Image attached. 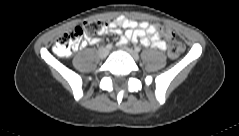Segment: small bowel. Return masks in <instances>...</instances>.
Masks as SVG:
<instances>
[{
  "label": "small bowel",
  "instance_id": "obj_1",
  "mask_svg": "<svg viewBox=\"0 0 239 136\" xmlns=\"http://www.w3.org/2000/svg\"><path fill=\"white\" fill-rule=\"evenodd\" d=\"M106 33H117L120 35L118 45H125L128 42H140L146 47H153L158 50L164 51L167 48L165 40L162 38L161 33L155 24L148 22L138 23L135 20L119 16L111 22L104 25L100 35ZM99 37H88L85 44L95 45L99 43Z\"/></svg>",
  "mask_w": 239,
  "mask_h": 136
}]
</instances>
